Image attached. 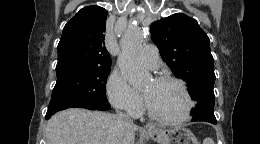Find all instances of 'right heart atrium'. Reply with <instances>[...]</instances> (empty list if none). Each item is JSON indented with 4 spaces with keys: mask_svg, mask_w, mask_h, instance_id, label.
<instances>
[{
    "mask_svg": "<svg viewBox=\"0 0 260 144\" xmlns=\"http://www.w3.org/2000/svg\"><path fill=\"white\" fill-rule=\"evenodd\" d=\"M106 93L110 103L123 112L136 115L142 108L140 95L131 87L120 72H112L106 83Z\"/></svg>",
    "mask_w": 260,
    "mask_h": 144,
    "instance_id": "right-heart-atrium-1",
    "label": "right heart atrium"
}]
</instances>
